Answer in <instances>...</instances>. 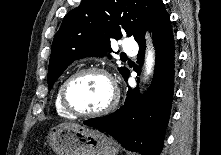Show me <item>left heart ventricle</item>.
I'll return each instance as SVG.
<instances>
[{
    "instance_id": "obj_1",
    "label": "left heart ventricle",
    "mask_w": 221,
    "mask_h": 155,
    "mask_svg": "<svg viewBox=\"0 0 221 155\" xmlns=\"http://www.w3.org/2000/svg\"><path fill=\"white\" fill-rule=\"evenodd\" d=\"M70 105L79 112H95L104 108L111 98V87L99 74H85L75 79L68 88Z\"/></svg>"
}]
</instances>
